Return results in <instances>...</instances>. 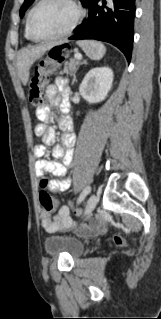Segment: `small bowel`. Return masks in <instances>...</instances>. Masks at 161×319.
<instances>
[{
	"mask_svg": "<svg viewBox=\"0 0 161 319\" xmlns=\"http://www.w3.org/2000/svg\"><path fill=\"white\" fill-rule=\"evenodd\" d=\"M71 90L63 77L56 78L55 82L48 85L46 95L50 105H43L36 111V116L39 123L35 126V134L42 136L43 142L36 144L33 149L34 157L36 158L35 173L38 177L45 173H51L57 179L52 181L51 190L58 194L67 190L71 185V178L66 173V165L70 164L73 159V147L76 137L73 132L72 122L68 117L70 108L69 98ZM51 106L59 107L61 115L58 117L59 126L63 132V144H55L56 132L52 127H46V123L50 117L55 115ZM54 145L52 155L55 158H63L64 163L51 161L45 158L46 146ZM42 227L47 232H56L65 227L73 225L71 219V208L68 205H63L58 212L52 216L50 211L43 210L41 214ZM87 230L95 231L101 228L99 221H93L88 225Z\"/></svg>",
	"mask_w": 161,
	"mask_h": 319,
	"instance_id": "obj_1",
	"label": "small bowel"
}]
</instances>
